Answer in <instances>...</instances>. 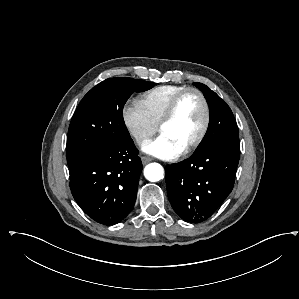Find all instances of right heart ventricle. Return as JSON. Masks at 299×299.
<instances>
[{"label":"right heart ventricle","instance_id":"obj_1","mask_svg":"<svg viewBox=\"0 0 299 299\" xmlns=\"http://www.w3.org/2000/svg\"><path fill=\"white\" fill-rule=\"evenodd\" d=\"M185 88L187 87L182 85L157 86L141 94L137 103L157 126L172 99Z\"/></svg>","mask_w":299,"mask_h":299}]
</instances>
